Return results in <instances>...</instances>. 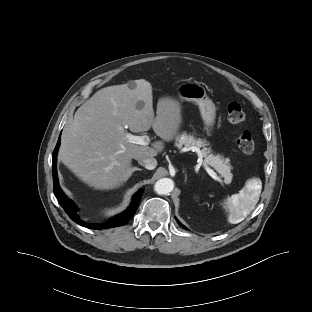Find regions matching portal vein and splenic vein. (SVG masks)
Returning a JSON list of instances; mask_svg holds the SVG:
<instances>
[{"instance_id":"1","label":"portal vein and splenic vein","mask_w":312,"mask_h":312,"mask_svg":"<svg viewBox=\"0 0 312 312\" xmlns=\"http://www.w3.org/2000/svg\"><path fill=\"white\" fill-rule=\"evenodd\" d=\"M125 138L129 143L143 145V146L148 145L150 142V138L147 135L136 136V135H132L131 133H125ZM206 170L213 179L217 181H221L220 178L217 176V174L210 167L206 166Z\"/></svg>"}]
</instances>
